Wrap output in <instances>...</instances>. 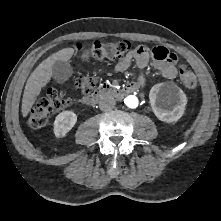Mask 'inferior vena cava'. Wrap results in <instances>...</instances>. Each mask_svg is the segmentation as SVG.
I'll return each instance as SVG.
<instances>
[{
	"instance_id": "602c4592",
	"label": "inferior vena cava",
	"mask_w": 221,
	"mask_h": 221,
	"mask_svg": "<svg viewBox=\"0 0 221 221\" xmlns=\"http://www.w3.org/2000/svg\"><path fill=\"white\" fill-rule=\"evenodd\" d=\"M116 101L111 96H105L99 101V108L102 111H109L115 107Z\"/></svg>"
}]
</instances>
